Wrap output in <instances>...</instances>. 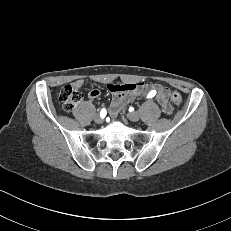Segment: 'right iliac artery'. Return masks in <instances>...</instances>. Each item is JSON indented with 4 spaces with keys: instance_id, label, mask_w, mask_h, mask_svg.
Instances as JSON below:
<instances>
[{
    "instance_id": "1",
    "label": "right iliac artery",
    "mask_w": 231,
    "mask_h": 231,
    "mask_svg": "<svg viewBox=\"0 0 231 231\" xmlns=\"http://www.w3.org/2000/svg\"><path fill=\"white\" fill-rule=\"evenodd\" d=\"M106 114H107V112H106L105 109H102V110L100 111V117H101V118H104V117L106 116Z\"/></svg>"
}]
</instances>
